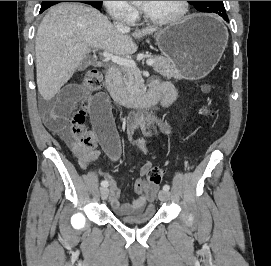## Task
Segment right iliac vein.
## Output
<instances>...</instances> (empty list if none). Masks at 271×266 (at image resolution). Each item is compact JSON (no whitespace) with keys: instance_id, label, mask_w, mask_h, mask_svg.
<instances>
[{"instance_id":"right-iliac-vein-1","label":"right iliac vein","mask_w":271,"mask_h":266,"mask_svg":"<svg viewBox=\"0 0 271 266\" xmlns=\"http://www.w3.org/2000/svg\"><path fill=\"white\" fill-rule=\"evenodd\" d=\"M108 193H109L108 188L102 187V188L100 189V195H101V198H102L103 200H105V199L107 198Z\"/></svg>"}]
</instances>
